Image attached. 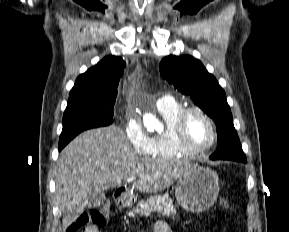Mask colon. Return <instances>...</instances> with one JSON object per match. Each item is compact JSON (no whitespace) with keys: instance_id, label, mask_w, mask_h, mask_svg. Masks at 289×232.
<instances>
[{"instance_id":"5ec220e1","label":"colon","mask_w":289,"mask_h":232,"mask_svg":"<svg viewBox=\"0 0 289 232\" xmlns=\"http://www.w3.org/2000/svg\"><path fill=\"white\" fill-rule=\"evenodd\" d=\"M223 209H229L230 204L227 198H221L219 201ZM109 209L103 207L100 209H91L81 213L67 228V232H79L82 228L94 225L102 227L107 223Z\"/></svg>"}]
</instances>
